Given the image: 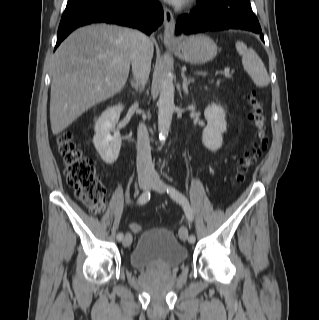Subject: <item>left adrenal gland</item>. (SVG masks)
<instances>
[{
	"instance_id": "a2214340",
	"label": "left adrenal gland",
	"mask_w": 319,
	"mask_h": 320,
	"mask_svg": "<svg viewBox=\"0 0 319 320\" xmlns=\"http://www.w3.org/2000/svg\"><path fill=\"white\" fill-rule=\"evenodd\" d=\"M181 76H182V88H183V91L184 93L188 94V86L190 83L194 82V79L193 78H188L185 76L184 72L181 73Z\"/></svg>"
}]
</instances>
